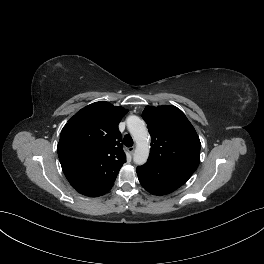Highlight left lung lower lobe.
<instances>
[{"mask_svg": "<svg viewBox=\"0 0 264 264\" xmlns=\"http://www.w3.org/2000/svg\"><path fill=\"white\" fill-rule=\"evenodd\" d=\"M136 171L141 185L155 195L173 192L187 181L180 176L163 172L157 164L150 162L138 167Z\"/></svg>", "mask_w": 264, "mask_h": 264, "instance_id": "left-lung-lower-lobe-1", "label": "left lung lower lobe"}]
</instances>
